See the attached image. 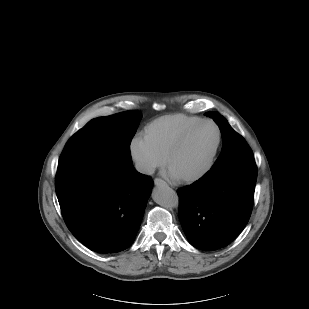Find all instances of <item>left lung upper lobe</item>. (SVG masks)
Returning a JSON list of instances; mask_svg holds the SVG:
<instances>
[{
  "instance_id": "left-lung-upper-lobe-1",
  "label": "left lung upper lobe",
  "mask_w": 309,
  "mask_h": 309,
  "mask_svg": "<svg viewBox=\"0 0 309 309\" xmlns=\"http://www.w3.org/2000/svg\"><path fill=\"white\" fill-rule=\"evenodd\" d=\"M205 115L213 118L218 124L223 139L222 151L210 171L219 168L235 158L252 154L250 147L247 145L243 137L232 129L223 116L218 112H207Z\"/></svg>"
}]
</instances>
